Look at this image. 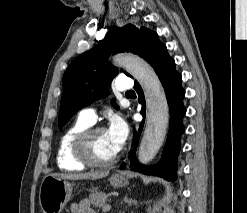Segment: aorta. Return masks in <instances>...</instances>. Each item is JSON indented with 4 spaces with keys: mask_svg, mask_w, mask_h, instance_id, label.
<instances>
[{
    "mask_svg": "<svg viewBox=\"0 0 247 213\" xmlns=\"http://www.w3.org/2000/svg\"><path fill=\"white\" fill-rule=\"evenodd\" d=\"M117 66L124 67L141 85L146 100V127L141 140L138 159L150 162L162 146L169 123V108L164 89L152 67L130 53L114 57Z\"/></svg>",
    "mask_w": 247,
    "mask_h": 213,
    "instance_id": "aorta-1",
    "label": "aorta"
}]
</instances>
